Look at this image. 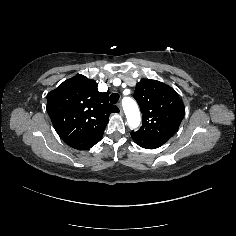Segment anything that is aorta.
I'll list each match as a JSON object with an SVG mask.
<instances>
[{
    "instance_id": "obj_1",
    "label": "aorta",
    "mask_w": 236,
    "mask_h": 236,
    "mask_svg": "<svg viewBox=\"0 0 236 236\" xmlns=\"http://www.w3.org/2000/svg\"><path fill=\"white\" fill-rule=\"evenodd\" d=\"M123 111L126 115L127 124L131 129H137L141 124V114L137 103L130 96L121 99Z\"/></svg>"
}]
</instances>
